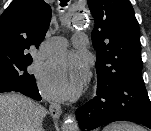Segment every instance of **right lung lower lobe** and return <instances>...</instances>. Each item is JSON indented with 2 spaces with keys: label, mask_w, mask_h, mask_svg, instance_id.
Wrapping results in <instances>:
<instances>
[{
  "label": "right lung lower lobe",
  "mask_w": 151,
  "mask_h": 131,
  "mask_svg": "<svg viewBox=\"0 0 151 131\" xmlns=\"http://www.w3.org/2000/svg\"><path fill=\"white\" fill-rule=\"evenodd\" d=\"M9 91H18L28 97H31L35 100H41L38 88L36 86L35 77L25 78L18 82H8L5 77L0 79V93L9 92Z\"/></svg>",
  "instance_id": "right-lung-lower-lobe-1"
}]
</instances>
